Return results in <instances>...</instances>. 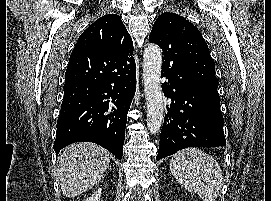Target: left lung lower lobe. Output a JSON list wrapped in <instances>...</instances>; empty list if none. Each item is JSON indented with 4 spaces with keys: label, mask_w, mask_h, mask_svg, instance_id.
<instances>
[{
    "label": "left lung lower lobe",
    "mask_w": 271,
    "mask_h": 201,
    "mask_svg": "<svg viewBox=\"0 0 271 201\" xmlns=\"http://www.w3.org/2000/svg\"><path fill=\"white\" fill-rule=\"evenodd\" d=\"M161 77L167 107L157 160L187 147L225 146L224 120L217 106L195 85L179 45L164 50Z\"/></svg>",
    "instance_id": "1"
}]
</instances>
